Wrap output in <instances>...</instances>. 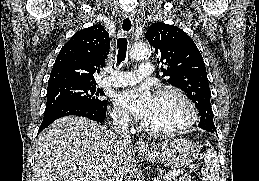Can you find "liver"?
<instances>
[{
    "instance_id": "obj_1",
    "label": "liver",
    "mask_w": 259,
    "mask_h": 181,
    "mask_svg": "<svg viewBox=\"0 0 259 181\" xmlns=\"http://www.w3.org/2000/svg\"><path fill=\"white\" fill-rule=\"evenodd\" d=\"M115 159L127 175L134 162L131 144L122 149L112 130L84 117L67 116L38 136L34 177L35 181H106Z\"/></svg>"
}]
</instances>
